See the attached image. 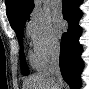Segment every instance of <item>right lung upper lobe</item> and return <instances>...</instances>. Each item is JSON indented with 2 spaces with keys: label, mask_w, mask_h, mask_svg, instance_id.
Returning a JSON list of instances; mask_svg holds the SVG:
<instances>
[{
  "label": "right lung upper lobe",
  "mask_w": 89,
  "mask_h": 89,
  "mask_svg": "<svg viewBox=\"0 0 89 89\" xmlns=\"http://www.w3.org/2000/svg\"><path fill=\"white\" fill-rule=\"evenodd\" d=\"M34 8L33 0H6V12L13 29L27 20Z\"/></svg>",
  "instance_id": "cb5924a9"
}]
</instances>
